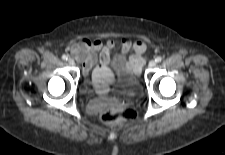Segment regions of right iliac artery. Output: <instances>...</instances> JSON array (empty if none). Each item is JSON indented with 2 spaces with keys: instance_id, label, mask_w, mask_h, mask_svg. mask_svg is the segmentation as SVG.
Returning a JSON list of instances; mask_svg holds the SVG:
<instances>
[{
  "instance_id": "1",
  "label": "right iliac artery",
  "mask_w": 225,
  "mask_h": 155,
  "mask_svg": "<svg viewBox=\"0 0 225 155\" xmlns=\"http://www.w3.org/2000/svg\"><path fill=\"white\" fill-rule=\"evenodd\" d=\"M62 59L63 60H67L68 59V56L67 55H62Z\"/></svg>"
}]
</instances>
